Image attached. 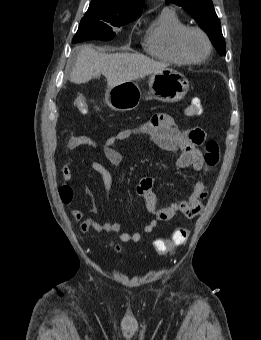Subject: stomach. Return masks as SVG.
<instances>
[{"label": "stomach", "instance_id": "obj_1", "mask_svg": "<svg viewBox=\"0 0 261 340\" xmlns=\"http://www.w3.org/2000/svg\"><path fill=\"white\" fill-rule=\"evenodd\" d=\"M189 89L188 80L173 69H164L152 74L149 79V92L146 99L163 102H177L183 99ZM143 97L139 85L128 81L114 87H108L105 93L106 104L114 111L126 112L135 109Z\"/></svg>", "mask_w": 261, "mask_h": 340}]
</instances>
